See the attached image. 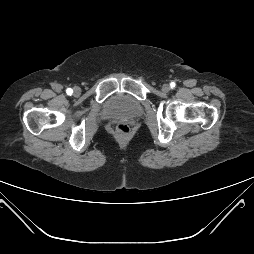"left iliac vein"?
Segmentation results:
<instances>
[{"label":"left iliac vein","instance_id":"4c4485c4","mask_svg":"<svg viewBox=\"0 0 254 254\" xmlns=\"http://www.w3.org/2000/svg\"><path fill=\"white\" fill-rule=\"evenodd\" d=\"M162 91L165 92V93L169 92L170 91V86L168 84H164L162 86Z\"/></svg>","mask_w":254,"mask_h":254}]
</instances>
